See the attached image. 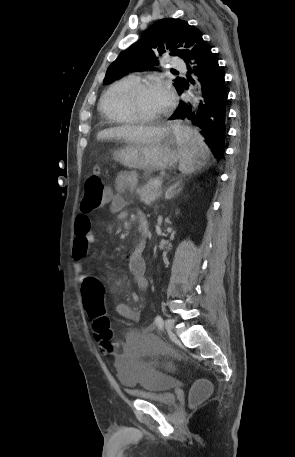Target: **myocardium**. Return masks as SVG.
<instances>
[{"instance_id":"f54148a6","label":"myocardium","mask_w":295,"mask_h":457,"mask_svg":"<svg viewBox=\"0 0 295 457\" xmlns=\"http://www.w3.org/2000/svg\"><path fill=\"white\" fill-rule=\"evenodd\" d=\"M156 85L155 81L151 80H143L137 81L136 83L132 84L130 87L126 89L123 94V103L127 109V111L131 114V116L139 122L145 123H153L161 120L164 118L168 110H165L159 115L156 116H149L141 112L138 106V96L139 94L148 88L154 87Z\"/></svg>"}]
</instances>
